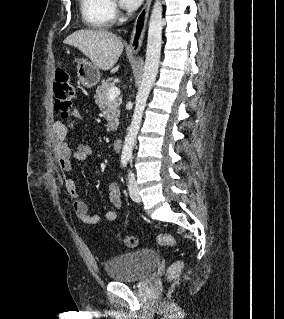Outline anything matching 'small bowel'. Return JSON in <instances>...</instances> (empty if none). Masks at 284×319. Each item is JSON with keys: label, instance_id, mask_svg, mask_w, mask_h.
I'll list each match as a JSON object with an SVG mask.
<instances>
[{"label": "small bowel", "instance_id": "small-bowel-1", "mask_svg": "<svg viewBox=\"0 0 284 319\" xmlns=\"http://www.w3.org/2000/svg\"><path fill=\"white\" fill-rule=\"evenodd\" d=\"M82 116L78 111L73 112V120L69 122L56 121L53 124V138L55 145V152L58 160L59 168L64 173L72 171V159L77 161H85L88 159L92 150L88 145H79L75 151H72L67 143V136L69 130L75 125L81 123ZM65 187L69 195L75 198L73 202V210L76 216L85 224L97 225L102 221L100 215L90 214L87 204L78 199V189L75 181L67 177L65 179ZM108 196L113 209L108 210L104 215V220L113 222L117 219L116 210L122 205L121 191L117 183H110L108 186Z\"/></svg>", "mask_w": 284, "mask_h": 319}]
</instances>
